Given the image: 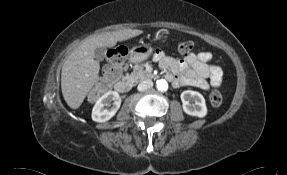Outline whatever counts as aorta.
<instances>
[{
  "mask_svg": "<svg viewBox=\"0 0 287 175\" xmlns=\"http://www.w3.org/2000/svg\"><path fill=\"white\" fill-rule=\"evenodd\" d=\"M156 87L159 91H166L168 89V83L164 79H159L156 82Z\"/></svg>",
  "mask_w": 287,
  "mask_h": 175,
  "instance_id": "762f6f07",
  "label": "aorta"
}]
</instances>
